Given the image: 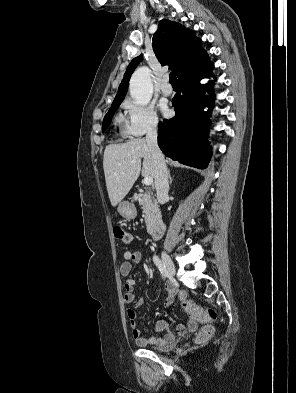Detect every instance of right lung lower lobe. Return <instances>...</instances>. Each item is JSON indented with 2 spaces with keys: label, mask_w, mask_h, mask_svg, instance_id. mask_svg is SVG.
Segmentation results:
<instances>
[{
  "label": "right lung lower lobe",
  "mask_w": 296,
  "mask_h": 393,
  "mask_svg": "<svg viewBox=\"0 0 296 393\" xmlns=\"http://www.w3.org/2000/svg\"><path fill=\"white\" fill-rule=\"evenodd\" d=\"M213 66L204 51L177 76L180 91L172 99L176 115L159 123L158 145L163 153L200 169L207 167L212 154L207 141L211 111L203 109L213 100L204 95L200 80L211 75Z\"/></svg>",
  "instance_id": "right-lung-lower-lobe-1"
}]
</instances>
